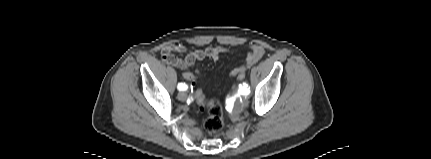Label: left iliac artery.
Masks as SVG:
<instances>
[{
  "instance_id": "44dca946",
  "label": "left iliac artery",
  "mask_w": 431,
  "mask_h": 159,
  "mask_svg": "<svg viewBox=\"0 0 431 159\" xmlns=\"http://www.w3.org/2000/svg\"><path fill=\"white\" fill-rule=\"evenodd\" d=\"M239 92H240V94L248 95L250 93V90H249V88L247 86H244V87H241L239 89Z\"/></svg>"
}]
</instances>
